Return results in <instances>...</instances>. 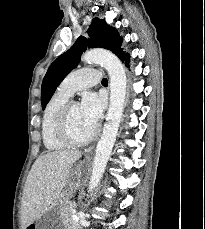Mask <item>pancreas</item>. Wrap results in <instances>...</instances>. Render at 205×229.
<instances>
[{"mask_svg": "<svg viewBox=\"0 0 205 229\" xmlns=\"http://www.w3.org/2000/svg\"><path fill=\"white\" fill-rule=\"evenodd\" d=\"M74 205L71 202H67L64 208L61 210V220L65 226V229H80V225L77 221L72 220Z\"/></svg>", "mask_w": 205, "mask_h": 229, "instance_id": "cf45deb5", "label": "pancreas"}]
</instances>
